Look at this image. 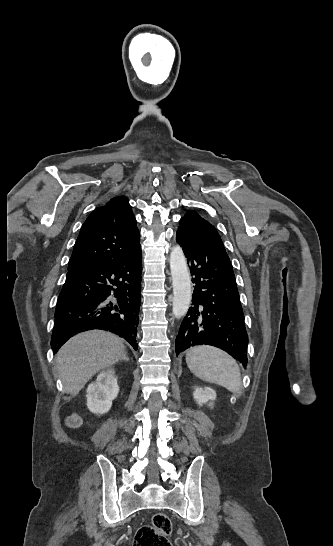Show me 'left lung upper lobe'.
<instances>
[{"label":"left lung upper lobe","mask_w":333,"mask_h":546,"mask_svg":"<svg viewBox=\"0 0 333 546\" xmlns=\"http://www.w3.org/2000/svg\"><path fill=\"white\" fill-rule=\"evenodd\" d=\"M181 222L188 225L195 234L204 238L206 241L215 243L224 248L223 242L215 227L204 220L197 212L188 211L185 216L181 218L180 223Z\"/></svg>","instance_id":"5c2ea615"}]
</instances>
